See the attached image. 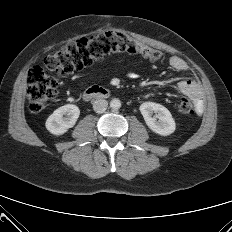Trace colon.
Segmentation results:
<instances>
[{
  "instance_id": "colon-1",
  "label": "colon",
  "mask_w": 232,
  "mask_h": 232,
  "mask_svg": "<svg viewBox=\"0 0 232 232\" xmlns=\"http://www.w3.org/2000/svg\"><path fill=\"white\" fill-rule=\"evenodd\" d=\"M119 52L140 53L152 61L159 60L162 56L159 50L119 31L68 42L50 53L42 65L35 66L29 71L26 93L30 111L33 113L41 111L57 94L58 81L48 74L49 71L59 75L71 74ZM178 111L182 115H192L194 108L191 101L182 98L178 103Z\"/></svg>"
}]
</instances>
